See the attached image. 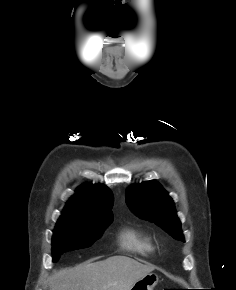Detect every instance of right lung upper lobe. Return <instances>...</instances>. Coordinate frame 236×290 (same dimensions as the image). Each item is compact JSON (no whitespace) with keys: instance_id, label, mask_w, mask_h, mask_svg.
I'll return each instance as SVG.
<instances>
[{"instance_id":"obj_1","label":"right lung upper lobe","mask_w":236,"mask_h":290,"mask_svg":"<svg viewBox=\"0 0 236 290\" xmlns=\"http://www.w3.org/2000/svg\"><path fill=\"white\" fill-rule=\"evenodd\" d=\"M111 191L102 185H85L77 189L60 218L86 220L97 217L113 216Z\"/></svg>"}]
</instances>
